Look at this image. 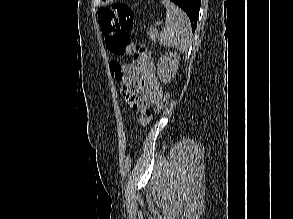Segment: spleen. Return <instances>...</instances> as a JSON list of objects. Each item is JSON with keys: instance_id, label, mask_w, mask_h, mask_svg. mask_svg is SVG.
Wrapping results in <instances>:
<instances>
[{"instance_id": "3e777b00", "label": "spleen", "mask_w": 293, "mask_h": 219, "mask_svg": "<svg viewBox=\"0 0 293 219\" xmlns=\"http://www.w3.org/2000/svg\"><path fill=\"white\" fill-rule=\"evenodd\" d=\"M166 7L165 28L160 33V43L163 46L186 52L191 43L192 29L187 15L169 0H162Z\"/></svg>"}]
</instances>
